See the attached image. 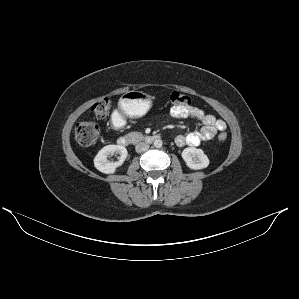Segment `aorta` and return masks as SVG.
<instances>
[{
  "label": "aorta",
  "mask_w": 299,
  "mask_h": 299,
  "mask_svg": "<svg viewBox=\"0 0 299 299\" xmlns=\"http://www.w3.org/2000/svg\"><path fill=\"white\" fill-rule=\"evenodd\" d=\"M162 145H163V142H162L161 139H156V140L154 141V146H155L156 148H160V147H162Z\"/></svg>",
  "instance_id": "obj_1"
}]
</instances>
